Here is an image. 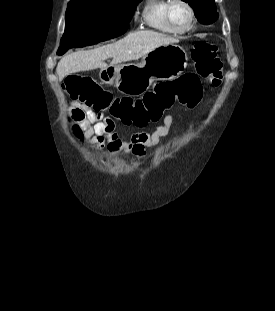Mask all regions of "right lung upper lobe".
I'll return each instance as SVG.
<instances>
[{"instance_id": "obj_1", "label": "right lung upper lobe", "mask_w": 275, "mask_h": 311, "mask_svg": "<svg viewBox=\"0 0 275 311\" xmlns=\"http://www.w3.org/2000/svg\"><path fill=\"white\" fill-rule=\"evenodd\" d=\"M72 2H76V1H86V0H71Z\"/></svg>"}]
</instances>
